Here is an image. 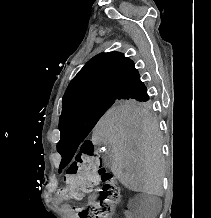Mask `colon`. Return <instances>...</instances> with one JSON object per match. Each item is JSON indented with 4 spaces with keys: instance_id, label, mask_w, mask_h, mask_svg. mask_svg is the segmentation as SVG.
<instances>
[{
    "instance_id": "colon-1",
    "label": "colon",
    "mask_w": 211,
    "mask_h": 218,
    "mask_svg": "<svg viewBox=\"0 0 211 218\" xmlns=\"http://www.w3.org/2000/svg\"><path fill=\"white\" fill-rule=\"evenodd\" d=\"M100 182L104 185L99 197L76 209V218H108L120 202L118 184L103 166L94 142L86 140L67 168L63 195L66 199H81L93 192Z\"/></svg>"
}]
</instances>
